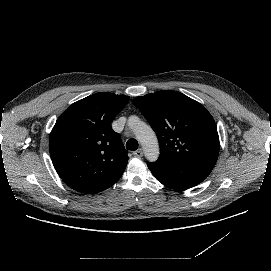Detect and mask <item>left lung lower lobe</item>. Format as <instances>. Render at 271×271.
I'll return each instance as SVG.
<instances>
[{"instance_id":"1","label":"left lung lower lobe","mask_w":271,"mask_h":271,"mask_svg":"<svg viewBox=\"0 0 271 271\" xmlns=\"http://www.w3.org/2000/svg\"><path fill=\"white\" fill-rule=\"evenodd\" d=\"M155 178L166 187L185 190L201 183L213 167L187 161L159 157L156 162L148 163Z\"/></svg>"}]
</instances>
